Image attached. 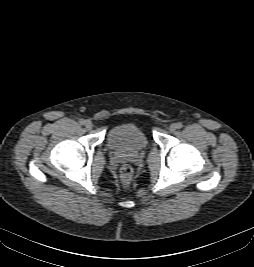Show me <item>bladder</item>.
<instances>
[{
    "label": "bladder",
    "mask_w": 254,
    "mask_h": 267,
    "mask_svg": "<svg viewBox=\"0 0 254 267\" xmlns=\"http://www.w3.org/2000/svg\"><path fill=\"white\" fill-rule=\"evenodd\" d=\"M106 142L111 150L122 153H137L148 146L146 134L134 123H121L112 127Z\"/></svg>",
    "instance_id": "1"
}]
</instances>
